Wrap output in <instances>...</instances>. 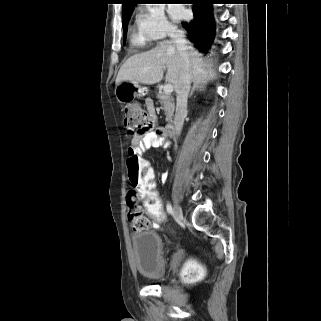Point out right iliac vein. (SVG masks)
I'll use <instances>...</instances> for the list:
<instances>
[{"mask_svg": "<svg viewBox=\"0 0 321 321\" xmlns=\"http://www.w3.org/2000/svg\"><path fill=\"white\" fill-rule=\"evenodd\" d=\"M173 213L177 220H180L183 216L182 208L176 199H174Z\"/></svg>", "mask_w": 321, "mask_h": 321, "instance_id": "1", "label": "right iliac vein"}]
</instances>
